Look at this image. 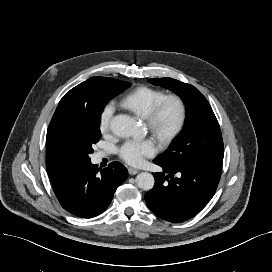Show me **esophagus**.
Returning <instances> with one entry per match:
<instances>
[{"mask_svg": "<svg viewBox=\"0 0 272 272\" xmlns=\"http://www.w3.org/2000/svg\"><path fill=\"white\" fill-rule=\"evenodd\" d=\"M128 172H129L130 175H135V174H137L139 172V170L130 167V168H128Z\"/></svg>", "mask_w": 272, "mask_h": 272, "instance_id": "1", "label": "esophagus"}]
</instances>
